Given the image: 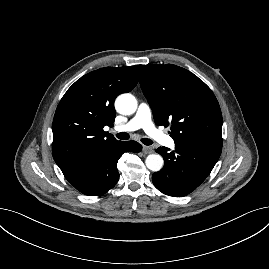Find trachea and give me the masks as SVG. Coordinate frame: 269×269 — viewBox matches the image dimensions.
<instances>
[{
  "instance_id": "3493384b",
  "label": "trachea",
  "mask_w": 269,
  "mask_h": 269,
  "mask_svg": "<svg viewBox=\"0 0 269 269\" xmlns=\"http://www.w3.org/2000/svg\"><path fill=\"white\" fill-rule=\"evenodd\" d=\"M116 137L120 140H128L129 139V134L126 133V132H121V133H118L116 134ZM141 142L145 145H151L153 142L151 139H148V138H142L141 139Z\"/></svg>"
}]
</instances>
